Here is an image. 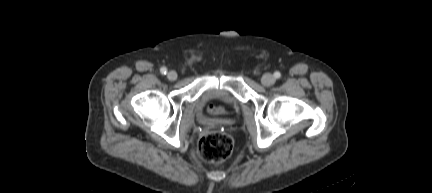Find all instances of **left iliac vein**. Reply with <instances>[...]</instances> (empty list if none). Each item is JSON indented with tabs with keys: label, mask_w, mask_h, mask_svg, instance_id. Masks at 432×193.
Returning <instances> with one entry per match:
<instances>
[{
	"label": "left iliac vein",
	"mask_w": 432,
	"mask_h": 193,
	"mask_svg": "<svg viewBox=\"0 0 432 193\" xmlns=\"http://www.w3.org/2000/svg\"><path fill=\"white\" fill-rule=\"evenodd\" d=\"M261 82L264 86H271L275 83V78L272 74L266 73L262 76Z\"/></svg>",
	"instance_id": "obj_1"
}]
</instances>
